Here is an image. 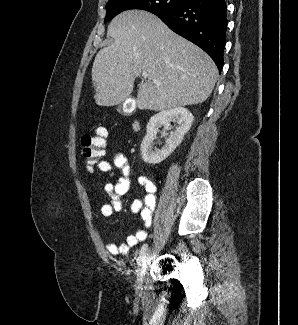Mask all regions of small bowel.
Masks as SVG:
<instances>
[{
	"label": "small bowel",
	"mask_w": 298,
	"mask_h": 325,
	"mask_svg": "<svg viewBox=\"0 0 298 325\" xmlns=\"http://www.w3.org/2000/svg\"><path fill=\"white\" fill-rule=\"evenodd\" d=\"M97 167L101 172L106 173L108 177L115 176L117 171L121 173V177L115 183L109 182L104 187L110 196V203L104 204L101 207V214L104 217H111L121 210L122 198L129 191L131 167L127 158L122 153H114L111 161H99ZM138 183L144 190V196L142 199H137L132 202L131 213L132 215H140L144 229L129 235L124 244L117 245L115 243H108L106 250L109 254H126L130 248L146 239V229L151 225L156 207L157 186L155 182L145 176L139 177Z\"/></svg>",
	"instance_id": "c3829d8e"
}]
</instances>
